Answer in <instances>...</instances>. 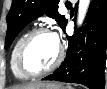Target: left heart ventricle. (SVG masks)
Returning a JSON list of instances; mask_svg holds the SVG:
<instances>
[{"mask_svg": "<svg viewBox=\"0 0 107 89\" xmlns=\"http://www.w3.org/2000/svg\"><path fill=\"white\" fill-rule=\"evenodd\" d=\"M58 51L59 44L52 34H39L30 42L24 56V64L30 71L42 70L55 61Z\"/></svg>", "mask_w": 107, "mask_h": 89, "instance_id": "1", "label": "left heart ventricle"}]
</instances>
